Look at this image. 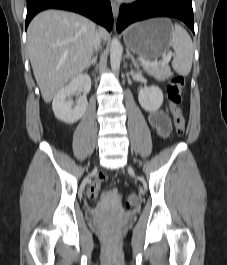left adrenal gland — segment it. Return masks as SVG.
I'll use <instances>...</instances> for the list:
<instances>
[{"instance_id": "1", "label": "left adrenal gland", "mask_w": 227, "mask_h": 265, "mask_svg": "<svg viewBox=\"0 0 227 265\" xmlns=\"http://www.w3.org/2000/svg\"><path fill=\"white\" fill-rule=\"evenodd\" d=\"M126 57L131 59L132 64L134 65L135 68H138V63L135 60L134 56L130 53L129 49H126Z\"/></svg>"}]
</instances>
